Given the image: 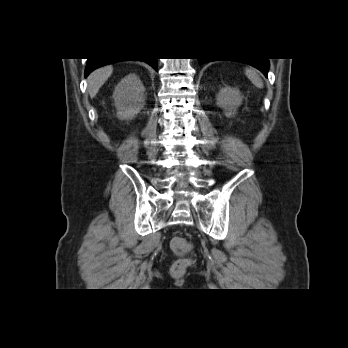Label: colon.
<instances>
[{"mask_svg":"<svg viewBox=\"0 0 348 348\" xmlns=\"http://www.w3.org/2000/svg\"><path fill=\"white\" fill-rule=\"evenodd\" d=\"M170 247L172 251L179 256V258L173 263L171 273L174 276H179L185 272L190 266L191 259L187 256L191 247L188 241L183 237H173L170 241Z\"/></svg>","mask_w":348,"mask_h":348,"instance_id":"obj_1","label":"colon"}]
</instances>
